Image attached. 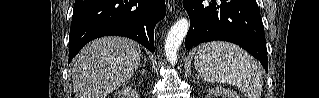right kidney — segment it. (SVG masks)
<instances>
[{
	"label": "right kidney",
	"mask_w": 319,
	"mask_h": 98,
	"mask_svg": "<svg viewBox=\"0 0 319 98\" xmlns=\"http://www.w3.org/2000/svg\"><path fill=\"white\" fill-rule=\"evenodd\" d=\"M130 94L132 96H134L135 98H138V96H137V94H136V92L134 90H130ZM119 98H123V96H119Z\"/></svg>",
	"instance_id": "obj_1"
}]
</instances>
